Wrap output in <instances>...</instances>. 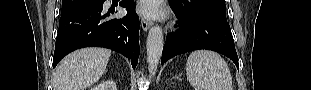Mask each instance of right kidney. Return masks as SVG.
Listing matches in <instances>:
<instances>
[{"label": "right kidney", "instance_id": "ca27d5eb", "mask_svg": "<svg viewBox=\"0 0 311 90\" xmlns=\"http://www.w3.org/2000/svg\"><path fill=\"white\" fill-rule=\"evenodd\" d=\"M108 89L116 90L115 83L112 81H107L96 86L95 88H91V90H108Z\"/></svg>", "mask_w": 311, "mask_h": 90}]
</instances>
